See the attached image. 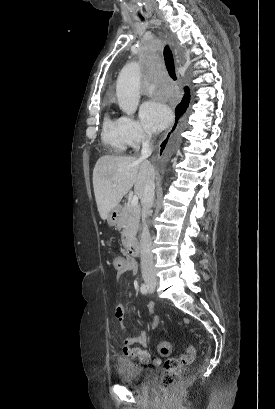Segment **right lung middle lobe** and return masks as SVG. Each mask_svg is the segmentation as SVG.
I'll return each instance as SVG.
<instances>
[{
  "label": "right lung middle lobe",
  "mask_w": 275,
  "mask_h": 409,
  "mask_svg": "<svg viewBox=\"0 0 275 409\" xmlns=\"http://www.w3.org/2000/svg\"><path fill=\"white\" fill-rule=\"evenodd\" d=\"M189 102H190V99L176 107V121H175V125L173 127V130L177 126L178 118L186 111V109H187V107L189 105ZM181 133H182V126L181 125L176 129V131L173 133V135L171 136L170 139H169V136H170L171 133H169L167 139L161 144L160 155H162L163 151H164L165 155H172V154H175L179 150V148L181 146V141H182ZM168 139H169V141H168ZM151 167L153 169L164 168L166 171H168L170 169L167 166L166 161H160V160H153L151 162Z\"/></svg>",
  "instance_id": "1"
}]
</instances>
